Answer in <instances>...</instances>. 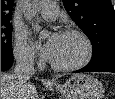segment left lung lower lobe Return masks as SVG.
<instances>
[{
    "label": "left lung lower lobe",
    "instance_id": "1",
    "mask_svg": "<svg viewBox=\"0 0 115 99\" xmlns=\"http://www.w3.org/2000/svg\"><path fill=\"white\" fill-rule=\"evenodd\" d=\"M74 72L75 73H79V72H113L115 73V58L108 59L103 62L94 63V64L89 63L84 68L74 71Z\"/></svg>",
    "mask_w": 115,
    "mask_h": 99
}]
</instances>
